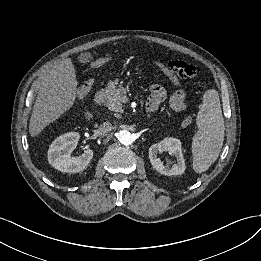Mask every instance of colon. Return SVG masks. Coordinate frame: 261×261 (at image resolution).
<instances>
[{"mask_svg": "<svg viewBox=\"0 0 261 261\" xmlns=\"http://www.w3.org/2000/svg\"><path fill=\"white\" fill-rule=\"evenodd\" d=\"M109 60L108 57L103 58L104 62ZM168 70L170 72L171 77L174 80H182V79H190L194 78L197 74V70L194 66L189 65L180 60H173L168 63ZM91 84L89 82L85 83L78 89V96L84 97L90 90ZM189 121L190 118H187Z\"/></svg>", "mask_w": 261, "mask_h": 261, "instance_id": "colon-1", "label": "colon"}]
</instances>
